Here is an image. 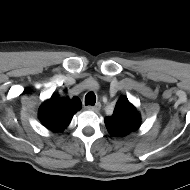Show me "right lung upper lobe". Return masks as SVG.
I'll use <instances>...</instances> for the list:
<instances>
[{
    "instance_id": "1",
    "label": "right lung upper lobe",
    "mask_w": 190,
    "mask_h": 190,
    "mask_svg": "<svg viewBox=\"0 0 190 190\" xmlns=\"http://www.w3.org/2000/svg\"><path fill=\"white\" fill-rule=\"evenodd\" d=\"M78 97H63L53 95L44 101L39 108L38 116L41 123L53 132L64 130L71 122L73 115L81 108Z\"/></svg>"
}]
</instances>
